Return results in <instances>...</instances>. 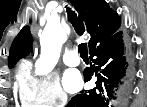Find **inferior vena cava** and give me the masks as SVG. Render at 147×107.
<instances>
[{"label": "inferior vena cava", "instance_id": "602c4592", "mask_svg": "<svg viewBox=\"0 0 147 107\" xmlns=\"http://www.w3.org/2000/svg\"><path fill=\"white\" fill-rule=\"evenodd\" d=\"M63 99H64V100H67V97H66V96H64V97H63Z\"/></svg>", "mask_w": 147, "mask_h": 107}]
</instances>
